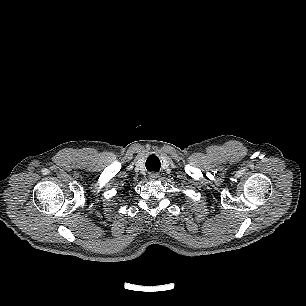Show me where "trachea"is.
Here are the masks:
<instances>
[{
  "label": "trachea",
  "mask_w": 306,
  "mask_h": 306,
  "mask_svg": "<svg viewBox=\"0 0 306 306\" xmlns=\"http://www.w3.org/2000/svg\"><path fill=\"white\" fill-rule=\"evenodd\" d=\"M161 163L157 156L150 155L146 161V168L148 171L158 172L160 170Z\"/></svg>",
  "instance_id": "3493384b"
}]
</instances>
